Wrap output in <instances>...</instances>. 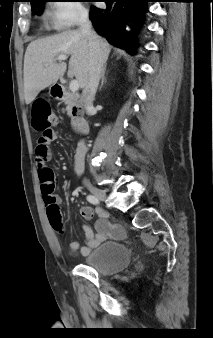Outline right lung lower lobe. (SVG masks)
<instances>
[{"label":"right lung lower lobe","instance_id":"1","mask_svg":"<svg viewBox=\"0 0 213 338\" xmlns=\"http://www.w3.org/2000/svg\"><path fill=\"white\" fill-rule=\"evenodd\" d=\"M95 1V0H94ZM107 7L99 9L91 7L90 18L95 30L107 40L129 53H134L136 48L132 32L125 30V24L135 19L141 26L145 20L147 2L151 0H103ZM139 27V26H137Z\"/></svg>","mask_w":213,"mask_h":338}]
</instances>
